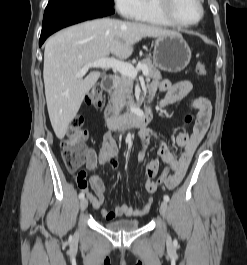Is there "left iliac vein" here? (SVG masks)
I'll return each instance as SVG.
<instances>
[{"label":"left iliac vein","mask_w":247,"mask_h":265,"mask_svg":"<svg viewBox=\"0 0 247 265\" xmlns=\"http://www.w3.org/2000/svg\"><path fill=\"white\" fill-rule=\"evenodd\" d=\"M168 205L166 201H162L160 205V214L165 218L167 215Z\"/></svg>","instance_id":"1"}]
</instances>
